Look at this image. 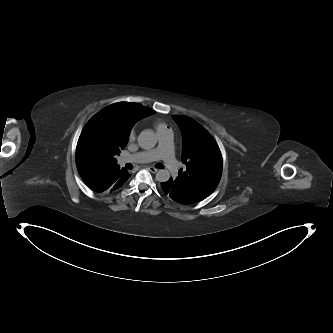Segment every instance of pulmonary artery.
Returning <instances> with one entry per match:
<instances>
[{"label": "pulmonary artery", "mask_w": 333, "mask_h": 333, "mask_svg": "<svg viewBox=\"0 0 333 333\" xmlns=\"http://www.w3.org/2000/svg\"><path fill=\"white\" fill-rule=\"evenodd\" d=\"M159 146L156 149L135 153L123 158L121 164L127 163H149L155 160H162L171 173L176 172L175 159L173 154V133L165 129L158 133Z\"/></svg>", "instance_id": "1"}]
</instances>
